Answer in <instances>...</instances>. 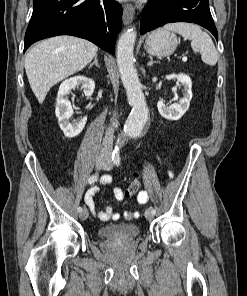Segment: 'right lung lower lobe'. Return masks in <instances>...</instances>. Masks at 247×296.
I'll return each instance as SVG.
<instances>
[{
    "label": "right lung lower lobe",
    "mask_w": 247,
    "mask_h": 296,
    "mask_svg": "<svg viewBox=\"0 0 247 296\" xmlns=\"http://www.w3.org/2000/svg\"><path fill=\"white\" fill-rule=\"evenodd\" d=\"M24 52L34 42L56 35L85 38L114 54L122 7L107 0H33Z\"/></svg>",
    "instance_id": "right-lung-lower-lobe-1"
}]
</instances>
